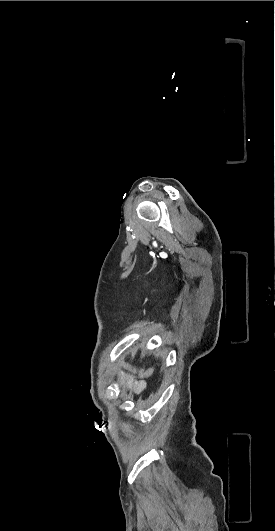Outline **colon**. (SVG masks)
Returning a JSON list of instances; mask_svg holds the SVG:
<instances>
[{
  "instance_id": "obj_1",
  "label": "colon",
  "mask_w": 275,
  "mask_h": 531,
  "mask_svg": "<svg viewBox=\"0 0 275 531\" xmlns=\"http://www.w3.org/2000/svg\"><path fill=\"white\" fill-rule=\"evenodd\" d=\"M153 366H147V367H139L136 369L137 372H139L142 376L147 377L151 375L154 372Z\"/></svg>"
}]
</instances>
